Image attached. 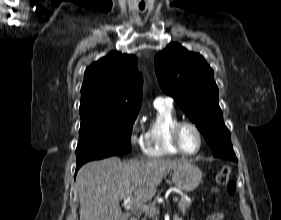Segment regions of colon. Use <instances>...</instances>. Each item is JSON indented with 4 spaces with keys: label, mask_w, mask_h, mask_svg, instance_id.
Here are the masks:
<instances>
[{
    "label": "colon",
    "mask_w": 281,
    "mask_h": 220,
    "mask_svg": "<svg viewBox=\"0 0 281 220\" xmlns=\"http://www.w3.org/2000/svg\"><path fill=\"white\" fill-rule=\"evenodd\" d=\"M230 174H231V168L230 166H224L221 168V170L218 172L216 179H215V188L219 186H226L228 193L230 195H233L235 193V183L230 179ZM223 215L222 213H213L209 215L207 220H222Z\"/></svg>",
    "instance_id": "obj_1"
}]
</instances>
